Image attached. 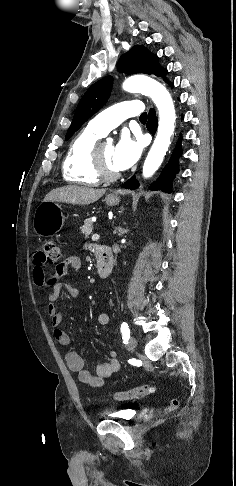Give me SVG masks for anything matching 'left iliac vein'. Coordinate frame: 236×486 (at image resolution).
I'll return each instance as SVG.
<instances>
[{"instance_id": "left-iliac-vein-1", "label": "left iliac vein", "mask_w": 236, "mask_h": 486, "mask_svg": "<svg viewBox=\"0 0 236 486\" xmlns=\"http://www.w3.org/2000/svg\"><path fill=\"white\" fill-rule=\"evenodd\" d=\"M137 346V341L134 337H131L128 342L126 343V348L129 350V351H133L135 350Z\"/></svg>"}]
</instances>
